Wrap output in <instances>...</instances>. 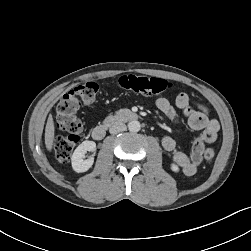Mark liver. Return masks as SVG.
Segmentation results:
<instances>
[{
	"mask_svg": "<svg viewBox=\"0 0 251 251\" xmlns=\"http://www.w3.org/2000/svg\"><path fill=\"white\" fill-rule=\"evenodd\" d=\"M54 135H55L54 121L52 115L50 114L45 127V145L46 149L49 152H51L52 150Z\"/></svg>",
	"mask_w": 251,
	"mask_h": 251,
	"instance_id": "6515ba94",
	"label": "liver"
}]
</instances>
